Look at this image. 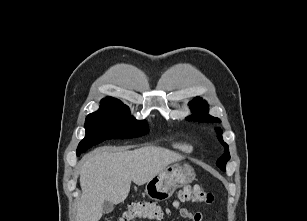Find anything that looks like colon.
<instances>
[{
	"mask_svg": "<svg viewBox=\"0 0 307 221\" xmlns=\"http://www.w3.org/2000/svg\"><path fill=\"white\" fill-rule=\"evenodd\" d=\"M214 201L212 193L200 186H184L178 193L174 202L175 206L180 203L211 204ZM168 211L160 204L153 201H137L129 203L118 221H160ZM112 221V220H107Z\"/></svg>",
	"mask_w": 307,
	"mask_h": 221,
	"instance_id": "1",
	"label": "colon"
}]
</instances>
